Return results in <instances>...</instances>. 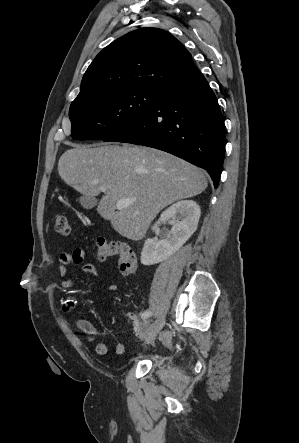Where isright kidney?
<instances>
[{"instance_id": "right-kidney-1", "label": "right kidney", "mask_w": 299, "mask_h": 443, "mask_svg": "<svg viewBox=\"0 0 299 443\" xmlns=\"http://www.w3.org/2000/svg\"><path fill=\"white\" fill-rule=\"evenodd\" d=\"M200 214V207L193 200H182L167 208L152 230L161 223L170 221L171 231L160 240L149 238L145 241L141 263L153 265L162 262L179 250L197 230Z\"/></svg>"}]
</instances>
